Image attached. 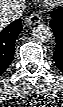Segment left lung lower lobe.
<instances>
[{"label":"left lung lower lobe","instance_id":"0a47b994","mask_svg":"<svg viewBox=\"0 0 63 107\" xmlns=\"http://www.w3.org/2000/svg\"><path fill=\"white\" fill-rule=\"evenodd\" d=\"M50 26L56 40L53 59L56 66L63 72V8H57L51 12Z\"/></svg>","mask_w":63,"mask_h":107}]
</instances>
